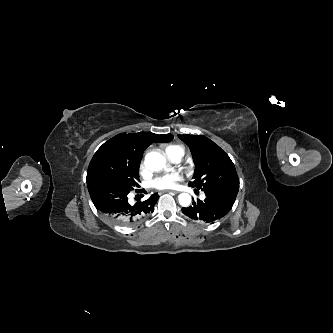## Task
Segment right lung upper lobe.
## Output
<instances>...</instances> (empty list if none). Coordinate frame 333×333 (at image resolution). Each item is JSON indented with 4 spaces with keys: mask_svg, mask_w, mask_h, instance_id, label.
<instances>
[{
    "mask_svg": "<svg viewBox=\"0 0 333 333\" xmlns=\"http://www.w3.org/2000/svg\"><path fill=\"white\" fill-rule=\"evenodd\" d=\"M172 139L173 135L171 134L157 135L151 132H140L136 134L121 133L107 142L123 147L133 160L140 163L143 151L153 142H169Z\"/></svg>",
    "mask_w": 333,
    "mask_h": 333,
    "instance_id": "1",
    "label": "right lung upper lobe"
}]
</instances>
